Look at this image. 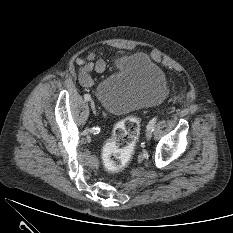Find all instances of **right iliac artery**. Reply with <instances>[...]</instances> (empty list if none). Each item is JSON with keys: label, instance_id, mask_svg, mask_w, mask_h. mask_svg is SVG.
Here are the masks:
<instances>
[{"label": "right iliac artery", "instance_id": "1", "mask_svg": "<svg viewBox=\"0 0 233 233\" xmlns=\"http://www.w3.org/2000/svg\"><path fill=\"white\" fill-rule=\"evenodd\" d=\"M84 99L86 101H89L91 99V96L89 94H85Z\"/></svg>", "mask_w": 233, "mask_h": 233}]
</instances>
